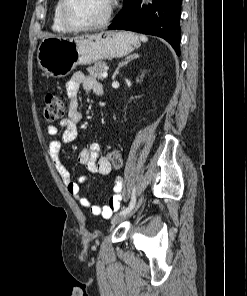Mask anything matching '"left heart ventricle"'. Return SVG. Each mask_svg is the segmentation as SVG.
I'll return each instance as SVG.
<instances>
[{
	"mask_svg": "<svg viewBox=\"0 0 247 296\" xmlns=\"http://www.w3.org/2000/svg\"><path fill=\"white\" fill-rule=\"evenodd\" d=\"M109 0H73L71 19L79 25H90L101 21L107 14Z\"/></svg>",
	"mask_w": 247,
	"mask_h": 296,
	"instance_id": "1",
	"label": "left heart ventricle"
}]
</instances>
